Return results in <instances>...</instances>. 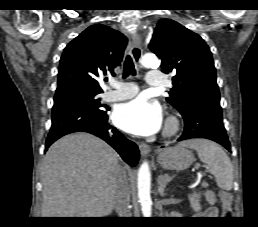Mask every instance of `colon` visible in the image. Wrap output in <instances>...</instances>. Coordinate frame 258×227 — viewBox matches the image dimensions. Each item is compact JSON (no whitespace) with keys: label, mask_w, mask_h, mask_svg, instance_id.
Here are the masks:
<instances>
[{"label":"colon","mask_w":258,"mask_h":227,"mask_svg":"<svg viewBox=\"0 0 258 227\" xmlns=\"http://www.w3.org/2000/svg\"><path fill=\"white\" fill-rule=\"evenodd\" d=\"M220 199H221V203H222V215L225 218H231L232 214H233L231 193H229L227 191H221Z\"/></svg>","instance_id":"5ec220e1"}]
</instances>
